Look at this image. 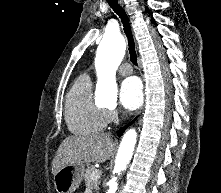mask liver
Segmentation results:
<instances>
[{"instance_id":"6515ba94","label":"liver","mask_w":221,"mask_h":193,"mask_svg":"<svg viewBox=\"0 0 221 193\" xmlns=\"http://www.w3.org/2000/svg\"><path fill=\"white\" fill-rule=\"evenodd\" d=\"M114 150L110 133L69 136L60 144L52 162V173L67 165H83L108 160Z\"/></svg>"}]
</instances>
